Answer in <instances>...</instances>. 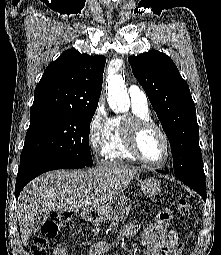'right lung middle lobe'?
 <instances>
[{
	"instance_id": "obj_1",
	"label": "right lung middle lobe",
	"mask_w": 221,
	"mask_h": 255,
	"mask_svg": "<svg viewBox=\"0 0 221 255\" xmlns=\"http://www.w3.org/2000/svg\"><path fill=\"white\" fill-rule=\"evenodd\" d=\"M92 111H42L30 113L20 162L43 159L91 166L89 130Z\"/></svg>"
}]
</instances>
